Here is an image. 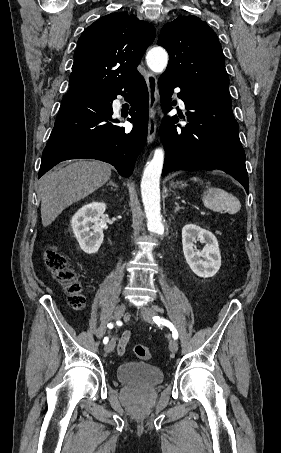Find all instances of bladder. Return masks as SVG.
I'll return each mask as SVG.
<instances>
[{"instance_id": "31cf9c89", "label": "bladder", "mask_w": 281, "mask_h": 453, "mask_svg": "<svg viewBox=\"0 0 281 453\" xmlns=\"http://www.w3.org/2000/svg\"><path fill=\"white\" fill-rule=\"evenodd\" d=\"M117 377L127 383L153 386L164 379L163 372L152 365L143 363H123L117 368Z\"/></svg>"}]
</instances>
